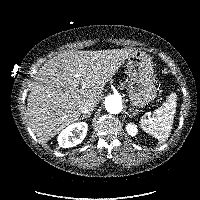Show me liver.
I'll return each mask as SVG.
<instances>
[{
  "instance_id": "liver-1",
  "label": "liver",
  "mask_w": 200,
  "mask_h": 200,
  "mask_svg": "<svg viewBox=\"0 0 200 200\" xmlns=\"http://www.w3.org/2000/svg\"><path fill=\"white\" fill-rule=\"evenodd\" d=\"M133 49L64 51L38 70L27 99L29 125L41 143L77 121L86 100L97 105L105 84Z\"/></svg>"
}]
</instances>
